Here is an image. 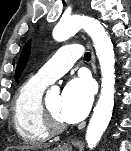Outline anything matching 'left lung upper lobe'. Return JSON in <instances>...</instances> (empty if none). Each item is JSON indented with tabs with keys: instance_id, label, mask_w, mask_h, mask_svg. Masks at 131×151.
Listing matches in <instances>:
<instances>
[{
	"instance_id": "1",
	"label": "left lung upper lobe",
	"mask_w": 131,
	"mask_h": 151,
	"mask_svg": "<svg viewBox=\"0 0 131 151\" xmlns=\"http://www.w3.org/2000/svg\"><path fill=\"white\" fill-rule=\"evenodd\" d=\"M30 55V41L25 45V47L22 50V53L20 55L18 64H17V68H16V72H15V80L17 81V79L19 78V76L21 75L22 71L24 70L26 63L28 61Z\"/></svg>"
}]
</instances>
